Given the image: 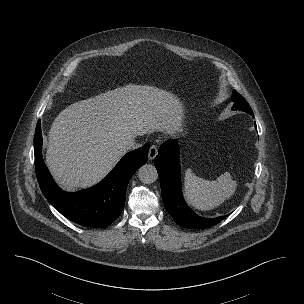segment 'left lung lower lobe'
<instances>
[{
  "mask_svg": "<svg viewBox=\"0 0 304 304\" xmlns=\"http://www.w3.org/2000/svg\"><path fill=\"white\" fill-rule=\"evenodd\" d=\"M254 117V115H252ZM257 129V128H256ZM179 150L175 140L164 143L154 160L158 171L162 199L167 212L175 222L184 228H208L227 217L202 218L195 214L185 203L181 191Z\"/></svg>",
  "mask_w": 304,
  "mask_h": 304,
  "instance_id": "obj_1",
  "label": "left lung lower lobe"
}]
</instances>
